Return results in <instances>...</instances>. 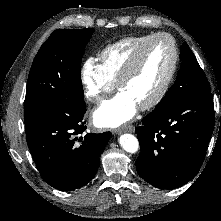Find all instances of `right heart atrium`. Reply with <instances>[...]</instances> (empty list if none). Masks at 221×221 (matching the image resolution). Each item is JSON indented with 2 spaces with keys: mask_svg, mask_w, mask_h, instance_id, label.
I'll list each match as a JSON object with an SVG mask.
<instances>
[{
  "mask_svg": "<svg viewBox=\"0 0 221 221\" xmlns=\"http://www.w3.org/2000/svg\"><path fill=\"white\" fill-rule=\"evenodd\" d=\"M81 80L86 99L93 104L102 103L115 87L100 64L93 58L84 61L81 68Z\"/></svg>",
  "mask_w": 221,
  "mask_h": 221,
  "instance_id": "d8ad5b80",
  "label": "right heart atrium"
}]
</instances>
